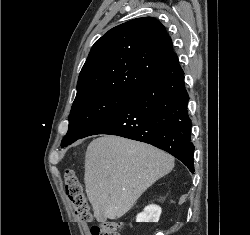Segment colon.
Instances as JSON below:
<instances>
[{
    "label": "colon",
    "instance_id": "1",
    "mask_svg": "<svg viewBox=\"0 0 250 235\" xmlns=\"http://www.w3.org/2000/svg\"><path fill=\"white\" fill-rule=\"evenodd\" d=\"M65 191L72 204L75 215L83 222L90 224L94 221L89 204L83 192L78 175L73 169L64 172ZM121 225L116 221H104L91 227L92 235H121Z\"/></svg>",
    "mask_w": 250,
    "mask_h": 235
}]
</instances>
